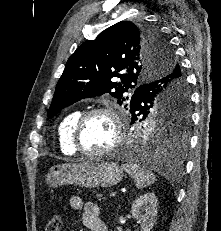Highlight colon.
Masks as SVG:
<instances>
[{"mask_svg":"<svg viewBox=\"0 0 221 231\" xmlns=\"http://www.w3.org/2000/svg\"><path fill=\"white\" fill-rule=\"evenodd\" d=\"M62 219L59 215L52 216L46 225V231H61Z\"/></svg>","mask_w":221,"mask_h":231,"instance_id":"5ec220e1","label":"colon"}]
</instances>
